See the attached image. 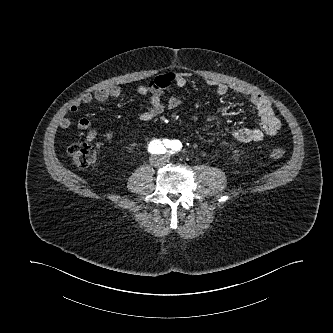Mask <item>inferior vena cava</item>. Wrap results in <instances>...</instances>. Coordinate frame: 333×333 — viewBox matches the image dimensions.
I'll return each mask as SVG.
<instances>
[{"label": "inferior vena cava", "mask_w": 333, "mask_h": 333, "mask_svg": "<svg viewBox=\"0 0 333 333\" xmlns=\"http://www.w3.org/2000/svg\"><path fill=\"white\" fill-rule=\"evenodd\" d=\"M158 160H157V156H152L151 158H150V164L151 165H153V166H156L157 165V162Z\"/></svg>", "instance_id": "obj_1"}]
</instances>
